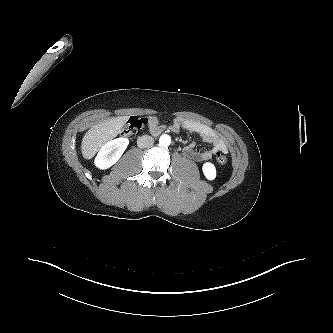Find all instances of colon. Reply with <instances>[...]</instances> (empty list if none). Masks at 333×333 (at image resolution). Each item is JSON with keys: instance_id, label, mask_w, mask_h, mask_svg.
Returning a JSON list of instances; mask_svg holds the SVG:
<instances>
[{"instance_id": "colon-1", "label": "colon", "mask_w": 333, "mask_h": 333, "mask_svg": "<svg viewBox=\"0 0 333 333\" xmlns=\"http://www.w3.org/2000/svg\"><path fill=\"white\" fill-rule=\"evenodd\" d=\"M148 125V119L145 117L132 116L123 127L121 134L123 136H131L139 129ZM215 161L219 166H224L227 163V158L221 152L215 154Z\"/></svg>"}]
</instances>
